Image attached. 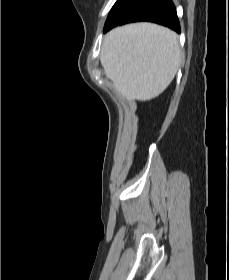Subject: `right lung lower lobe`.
<instances>
[{
    "instance_id": "right-lung-lower-lobe-1",
    "label": "right lung lower lobe",
    "mask_w": 229,
    "mask_h": 280,
    "mask_svg": "<svg viewBox=\"0 0 229 280\" xmlns=\"http://www.w3.org/2000/svg\"><path fill=\"white\" fill-rule=\"evenodd\" d=\"M137 21L154 22L180 33L176 9L171 0H117L105 23L104 32Z\"/></svg>"
}]
</instances>
